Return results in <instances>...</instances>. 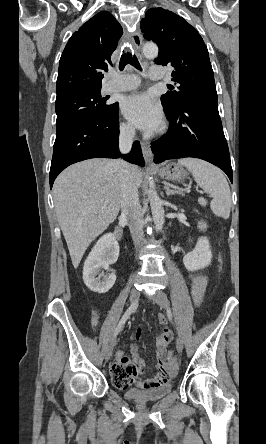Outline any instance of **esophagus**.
<instances>
[{"label":"esophagus","mask_w":266,"mask_h":444,"mask_svg":"<svg viewBox=\"0 0 266 444\" xmlns=\"http://www.w3.org/2000/svg\"><path fill=\"white\" fill-rule=\"evenodd\" d=\"M132 43L136 49H140L142 46V35L139 31H136L132 34ZM142 153L145 160V163L150 166L154 167L153 163V153L150 148V144L147 142L142 143Z\"/></svg>","instance_id":"esophagus-1"}]
</instances>
